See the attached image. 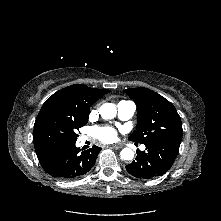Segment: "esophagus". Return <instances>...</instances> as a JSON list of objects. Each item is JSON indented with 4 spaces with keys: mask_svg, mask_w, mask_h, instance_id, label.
<instances>
[{
    "mask_svg": "<svg viewBox=\"0 0 221 221\" xmlns=\"http://www.w3.org/2000/svg\"><path fill=\"white\" fill-rule=\"evenodd\" d=\"M110 148L115 149V150H119V149H121L122 147L115 144V145H111Z\"/></svg>",
    "mask_w": 221,
    "mask_h": 221,
    "instance_id": "obj_1",
    "label": "esophagus"
}]
</instances>
